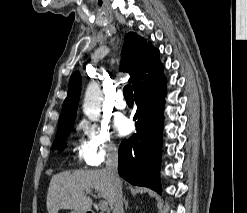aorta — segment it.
<instances>
[{
	"instance_id": "aorta-1",
	"label": "aorta",
	"mask_w": 247,
	"mask_h": 213,
	"mask_svg": "<svg viewBox=\"0 0 247 213\" xmlns=\"http://www.w3.org/2000/svg\"><path fill=\"white\" fill-rule=\"evenodd\" d=\"M102 100L103 95L99 85L96 82L90 83L86 89L83 103V112L90 120L98 119Z\"/></svg>"
}]
</instances>
